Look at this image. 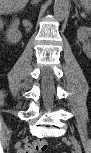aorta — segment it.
<instances>
[{
    "label": "aorta",
    "mask_w": 91,
    "mask_h": 153,
    "mask_svg": "<svg viewBox=\"0 0 91 153\" xmlns=\"http://www.w3.org/2000/svg\"><path fill=\"white\" fill-rule=\"evenodd\" d=\"M69 10V0H55L54 1V16L58 20H63Z\"/></svg>",
    "instance_id": "762f6f07"
}]
</instances>
